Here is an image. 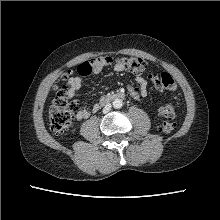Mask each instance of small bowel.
I'll list each match as a JSON object with an SVG mask.
<instances>
[{"instance_id": "1", "label": "small bowel", "mask_w": 220, "mask_h": 220, "mask_svg": "<svg viewBox=\"0 0 220 220\" xmlns=\"http://www.w3.org/2000/svg\"><path fill=\"white\" fill-rule=\"evenodd\" d=\"M101 58H103V61L101 63H98L97 62L98 58H96L91 61L83 62L78 66L77 68L78 75L70 78L69 81L71 86V92L73 95H75L80 90L84 77H87L91 74H98L102 71L104 67L113 65V69L115 72H122L125 70V63L123 58H120L117 61H114L111 57H101ZM86 67L91 68V72L89 74H85ZM136 81L139 84V88L128 87L127 93L130 98L138 101L140 100L141 97L147 95L148 84L147 81L141 76H138L136 78ZM98 109L99 106L97 102L87 104L86 106L79 109L77 113V117L79 119H86L90 116L91 113L98 111Z\"/></svg>"}]
</instances>
